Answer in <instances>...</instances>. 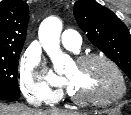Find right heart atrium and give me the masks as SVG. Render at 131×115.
Here are the masks:
<instances>
[{
  "instance_id": "obj_1",
  "label": "right heart atrium",
  "mask_w": 131,
  "mask_h": 115,
  "mask_svg": "<svg viewBox=\"0 0 131 115\" xmlns=\"http://www.w3.org/2000/svg\"><path fill=\"white\" fill-rule=\"evenodd\" d=\"M39 64V58L27 54L20 67V88L24 96L30 100L50 102L57 97L45 82L37 80L34 70Z\"/></svg>"
}]
</instances>
